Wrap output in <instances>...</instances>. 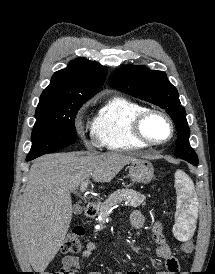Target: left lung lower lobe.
I'll use <instances>...</instances> for the list:
<instances>
[{
  "label": "left lung lower lobe",
  "mask_w": 215,
  "mask_h": 274,
  "mask_svg": "<svg viewBox=\"0 0 215 274\" xmlns=\"http://www.w3.org/2000/svg\"><path fill=\"white\" fill-rule=\"evenodd\" d=\"M187 162L193 164L194 166H197V165H198V162H192V161H187Z\"/></svg>",
  "instance_id": "left-lung-lower-lobe-1"
}]
</instances>
